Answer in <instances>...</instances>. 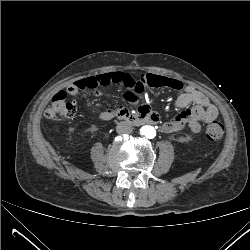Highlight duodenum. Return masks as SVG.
<instances>
[{
  "label": "duodenum",
  "mask_w": 250,
  "mask_h": 250,
  "mask_svg": "<svg viewBox=\"0 0 250 250\" xmlns=\"http://www.w3.org/2000/svg\"><path fill=\"white\" fill-rule=\"evenodd\" d=\"M117 117H125L129 121L135 124L140 123H149V124H155L158 122V116L157 114L152 110H146L143 112H140L137 115H132L128 110L124 109H111L107 110L101 113V120L103 121H109L113 118Z\"/></svg>",
  "instance_id": "410a0bca"
}]
</instances>
